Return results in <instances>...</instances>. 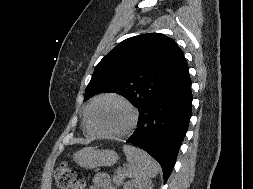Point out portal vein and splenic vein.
Segmentation results:
<instances>
[{"label": "portal vein and splenic vein", "instance_id": "obj_1", "mask_svg": "<svg viewBox=\"0 0 253 189\" xmlns=\"http://www.w3.org/2000/svg\"><path fill=\"white\" fill-rule=\"evenodd\" d=\"M117 171H118V172H121V169L119 168Z\"/></svg>", "mask_w": 253, "mask_h": 189}]
</instances>
